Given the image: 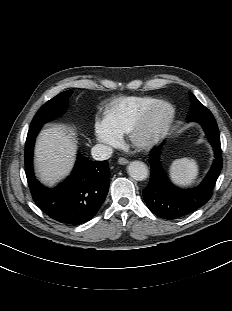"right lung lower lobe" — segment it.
<instances>
[{
  "instance_id": "1",
  "label": "right lung lower lobe",
  "mask_w": 232,
  "mask_h": 311,
  "mask_svg": "<svg viewBox=\"0 0 232 311\" xmlns=\"http://www.w3.org/2000/svg\"><path fill=\"white\" fill-rule=\"evenodd\" d=\"M42 126L30 128L25 144V169L35 203L52 219L80 225L92 219L109 190L110 172L107 161L94 162L78 155L71 175L58 187L48 189L33 173V148Z\"/></svg>"
}]
</instances>
